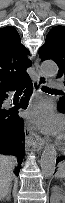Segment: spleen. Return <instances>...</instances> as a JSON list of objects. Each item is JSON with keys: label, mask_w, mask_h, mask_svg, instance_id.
Masks as SVG:
<instances>
[{"label": "spleen", "mask_w": 65, "mask_h": 203, "mask_svg": "<svg viewBox=\"0 0 65 203\" xmlns=\"http://www.w3.org/2000/svg\"><path fill=\"white\" fill-rule=\"evenodd\" d=\"M64 175H65V170H64V167L61 166L56 174V177L57 178H64Z\"/></svg>", "instance_id": "1"}]
</instances>
